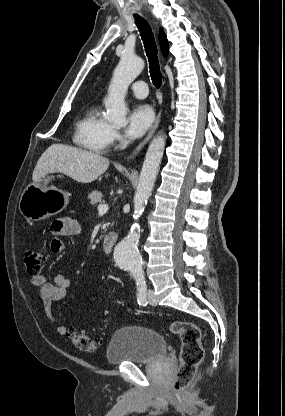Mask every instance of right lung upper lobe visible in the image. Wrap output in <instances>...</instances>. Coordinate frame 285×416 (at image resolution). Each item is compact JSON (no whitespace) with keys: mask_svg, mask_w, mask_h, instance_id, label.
Here are the masks:
<instances>
[{"mask_svg":"<svg viewBox=\"0 0 285 416\" xmlns=\"http://www.w3.org/2000/svg\"><path fill=\"white\" fill-rule=\"evenodd\" d=\"M159 42H160L162 54L164 57H166L169 53V48H168V41H167L166 35L162 31V29L159 34Z\"/></svg>","mask_w":285,"mask_h":416,"instance_id":"1","label":"right lung upper lobe"}]
</instances>
